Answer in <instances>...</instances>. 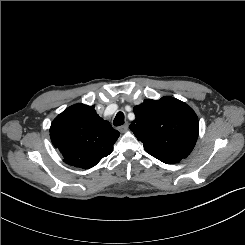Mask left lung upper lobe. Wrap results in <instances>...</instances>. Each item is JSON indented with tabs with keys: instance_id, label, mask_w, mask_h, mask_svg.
I'll return each instance as SVG.
<instances>
[{
	"instance_id": "1",
	"label": "left lung upper lobe",
	"mask_w": 245,
	"mask_h": 245,
	"mask_svg": "<svg viewBox=\"0 0 245 245\" xmlns=\"http://www.w3.org/2000/svg\"><path fill=\"white\" fill-rule=\"evenodd\" d=\"M134 113L129 128L149 154L183 159L193 150L199 122L186 103L170 96L146 99L134 107Z\"/></svg>"
}]
</instances>
